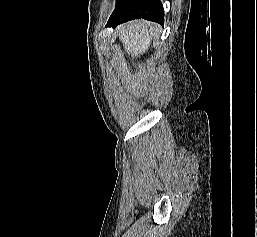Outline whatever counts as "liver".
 Masks as SVG:
<instances>
[{"label":"liver","instance_id":"obj_1","mask_svg":"<svg viewBox=\"0 0 257 237\" xmlns=\"http://www.w3.org/2000/svg\"><path fill=\"white\" fill-rule=\"evenodd\" d=\"M157 28L144 20H135L118 27L119 39L133 58L148 51Z\"/></svg>","mask_w":257,"mask_h":237}]
</instances>
